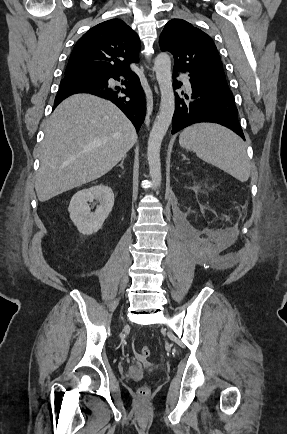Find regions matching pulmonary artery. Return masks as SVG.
Returning a JSON list of instances; mask_svg holds the SVG:
<instances>
[{"instance_id":"pulmonary-artery-1","label":"pulmonary artery","mask_w":287,"mask_h":434,"mask_svg":"<svg viewBox=\"0 0 287 434\" xmlns=\"http://www.w3.org/2000/svg\"><path fill=\"white\" fill-rule=\"evenodd\" d=\"M183 80H184V84L186 86L187 89L191 88L190 82L188 80V77L186 75L183 76Z\"/></svg>"}]
</instances>
